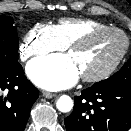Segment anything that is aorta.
Listing matches in <instances>:
<instances>
[{
	"label": "aorta",
	"instance_id": "762f6f07",
	"mask_svg": "<svg viewBox=\"0 0 131 131\" xmlns=\"http://www.w3.org/2000/svg\"><path fill=\"white\" fill-rule=\"evenodd\" d=\"M56 107L59 111L67 113L73 108V100L68 95H62L57 100Z\"/></svg>",
	"mask_w": 131,
	"mask_h": 131
}]
</instances>
